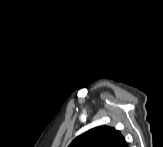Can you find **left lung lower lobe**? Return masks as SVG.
Listing matches in <instances>:
<instances>
[{"label":"left lung lower lobe","mask_w":163,"mask_h":147,"mask_svg":"<svg viewBox=\"0 0 163 147\" xmlns=\"http://www.w3.org/2000/svg\"><path fill=\"white\" fill-rule=\"evenodd\" d=\"M117 147H127L124 137H122V139L118 143Z\"/></svg>","instance_id":"0a47b994"}]
</instances>
